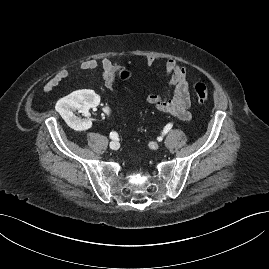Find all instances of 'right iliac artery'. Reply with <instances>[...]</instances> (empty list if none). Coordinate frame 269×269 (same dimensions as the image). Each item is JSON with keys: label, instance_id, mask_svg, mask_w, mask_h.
Here are the masks:
<instances>
[{"label": "right iliac artery", "instance_id": "obj_1", "mask_svg": "<svg viewBox=\"0 0 269 269\" xmlns=\"http://www.w3.org/2000/svg\"><path fill=\"white\" fill-rule=\"evenodd\" d=\"M110 138L113 140H117L118 139V134L116 132H111L110 133Z\"/></svg>", "mask_w": 269, "mask_h": 269}]
</instances>
